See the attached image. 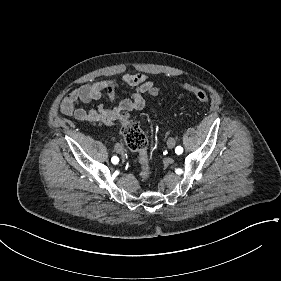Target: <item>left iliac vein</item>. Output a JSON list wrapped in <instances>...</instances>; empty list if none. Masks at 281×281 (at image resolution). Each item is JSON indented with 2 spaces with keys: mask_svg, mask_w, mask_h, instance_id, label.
<instances>
[{
  "mask_svg": "<svg viewBox=\"0 0 281 281\" xmlns=\"http://www.w3.org/2000/svg\"><path fill=\"white\" fill-rule=\"evenodd\" d=\"M167 145L169 148H173L175 146V140L173 138H169L167 140Z\"/></svg>",
  "mask_w": 281,
  "mask_h": 281,
  "instance_id": "4c4485c4",
  "label": "left iliac vein"
}]
</instances>
